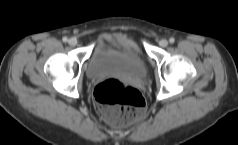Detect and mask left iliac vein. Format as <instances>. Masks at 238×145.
<instances>
[{
	"mask_svg": "<svg viewBox=\"0 0 238 145\" xmlns=\"http://www.w3.org/2000/svg\"><path fill=\"white\" fill-rule=\"evenodd\" d=\"M159 45H160L161 47H166V46L168 45V41H167L166 39H161V40L159 41Z\"/></svg>",
	"mask_w": 238,
	"mask_h": 145,
	"instance_id": "left-iliac-vein-1",
	"label": "left iliac vein"
}]
</instances>
